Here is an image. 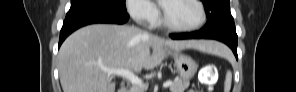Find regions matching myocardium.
I'll return each mask as SVG.
<instances>
[{"mask_svg":"<svg viewBox=\"0 0 296 92\" xmlns=\"http://www.w3.org/2000/svg\"><path fill=\"white\" fill-rule=\"evenodd\" d=\"M193 2L199 9L200 12V19L198 21L197 24L191 26V27H179L176 26L174 24H172L166 15V10H165V5L167 1H164L161 3L162 6V24L164 25V27H166L167 29L171 30V31H176V32H193L196 31L198 29H200L206 22V10L205 7L203 5V3L201 1L198 0H188Z\"/></svg>","mask_w":296,"mask_h":92,"instance_id":"myocardium-1","label":"myocardium"}]
</instances>
